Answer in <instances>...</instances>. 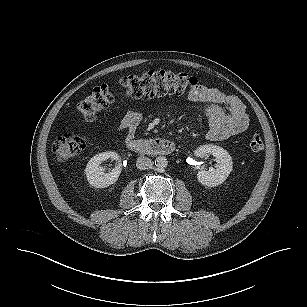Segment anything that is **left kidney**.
I'll use <instances>...</instances> for the list:
<instances>
[{
	"label": "left kidney",
	"mask_w": 307,
	"mask_h": 307,
	"mask_svg": "<svg viewBox=\"0 0 307 307\" xmlns=\"http://www.w3.org/2000/svg\"><path fill=\"white\" fill-rule=\"evenodd\" d=\"M194 154L197 157L212 154L217 162L215 169L198 171L197 179L204 186L215 187L222 184L232 171V158L222 147L211 144L202 145L195 150Z\"/></svg>",
	"instance_id": "5707ae66"
}]
</instances>
